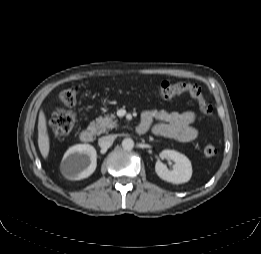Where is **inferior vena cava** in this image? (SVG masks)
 Listing matches in <instances>:
<instances>
[{"instance_id": "obj_1", "label": "inferior vena cava", "mask_w": 261, "mask_h": 254, "mask_svg": "<svg viewBox=\"0 0 261 254\" xmlns=\"http://www.w3.org/2000/svg\"><path fill=\"white\" fill-rule=\"evenodd\" d=\"M115 138V135L103 136L99 138L98 144L102 149H108L113 144Z\"/></svg>"}]
</instances>
